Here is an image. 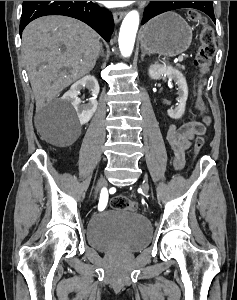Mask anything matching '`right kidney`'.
Here are the masks:
<instances>
[{"label":"right kidney","instance_id":"right-kidney-1","mask_svg":"<svg viewBox=\"0 0 237 300\" xmlns=\"http://www.w3.org/2000/svg\"><path fill=\"white\" fill-rule=\"evenodd\" d=\"M84 87L89 89V91H92V99H90L88 103H84V105H82V101L79 99L78 95H81L80 91L81 89H84ZM98 93V81H96L95 77H92V75H87V77H83V79L74 83V85L70 87V91H67V93L63 95V99H68L72 107H74L76 115L80 121V125L88 123V121L92 119L94 113H96V109L98 107L96 97Z\"/></svg>","mask_w":237,"mask_h":300}]
</instances>
